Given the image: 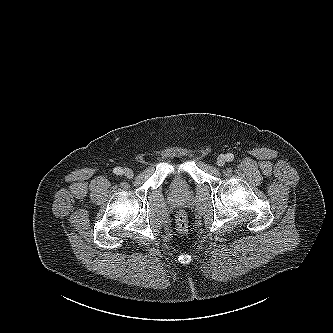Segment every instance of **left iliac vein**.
<instances>
[{"mask_svg": "<svg viewBox=\"0 0 333 333\" xmlns=\"http://www.w3.org/2000/svg\"><path fill=\"white\" fill-rule=\"evenodd\" d=\"M226 163V156L225 155H220L218 158H217V165L222 167L224 166Z\"/></svg>", "mask_w": 333, "mask_h": 333, "instance_id": "obj_1", "label": "left iliac vein"}]
</instances>
